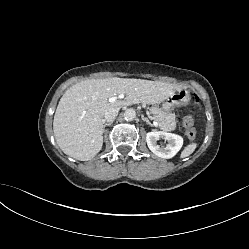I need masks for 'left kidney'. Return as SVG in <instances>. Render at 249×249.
I'll return each instance as SVG.
<instances>
[{"label": "left kidney", "instance_id": "obj_1", "mask_svg": "<svg viewBox=\"0 0 249 249\" xmlns=\"http://www.w3.org/2000/svg\"><path fill=\"white\" fill-rule=\"evenodd\" d=\"M167 140L166 146L157 145V140ZM146 141L149 149L158 157L169 159L174 157L183 146V138L165 131H153L146 134Z\"/></svg>", "mask_w": 249, "mask_h": 249}]
</instances>
